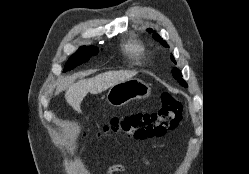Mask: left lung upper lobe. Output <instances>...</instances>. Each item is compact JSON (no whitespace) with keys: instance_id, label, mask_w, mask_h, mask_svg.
<instances>
[{"instance_id":"1","label":"left lung upper lobe","mask_w":249,"mask_h":174,"mask_svg":"<svg viewBox=\"0 0 249 174\" xmlns=\"http://www.w3.org/2000/svg\"><path fill=\"white\" fill-rule=\"evenodd\" d=\"M147 31H149V32L151 33V32H152V29H148ZM153 38L156 39L157 41H160V43H161L163 46L168 47L167 43H166L164 40H162V38H161L159 35L154 34V35H153ZM172 59H173V61H174V63H175V60H174L173 56H172ZM172 74H173L174 78H175L182 86L187 87V84H186L185 81L181 78V77H182L181 72H180L177 68H174V69H173Z\"/></svg>"}]
</instances>
